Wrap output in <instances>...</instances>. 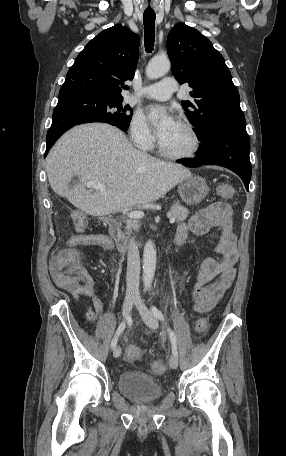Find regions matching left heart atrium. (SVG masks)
Listing matches in <instances>:
<instances>
[{
  "mask_svg": "<svg viewBox=\"0 0 286 456\" xmlns=\"http://www.w3.org/2000/svg\"><path fill=\"white\" fill-rule=\"evenodd\" d=\"M148 118L157 121L156 134L159 140L164 139L178 124L175 118L161 107H150Z\"/></svg>",
  "mask_w": 286,
  "mask_h": 456,
  "instance_id": "39dd6f15",
  "label": "left heart atrium"
}]
</instances>
